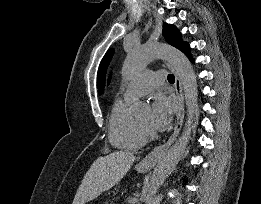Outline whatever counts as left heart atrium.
<instances>
[{
    "label": "left heart atrium",
    "instance_id": "obj_1",
    "mask_svg": "<svg viewBox=\"0 0 261 204\" xmlns=\"http://www.w3.org/2000/svg\"><path fill=\"white\" fill-rule=\"evenodd\" d=\"M174 111L173 102L162 94L154 97L151 108V127L157 131L168 128Z\"/></svg>",
    "mask_w": 261,
    "mask_h": 204
}]
</instances>
